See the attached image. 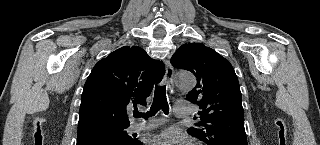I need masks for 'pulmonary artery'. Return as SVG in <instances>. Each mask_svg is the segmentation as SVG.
Instances as JSON below:
<instances>
[{
    "mask_svg": "<svg viewBox=\"0 0 320 145\" xmlns=\"http://www.w3.org/2000/svg\"><path fill=\"white\" fill-rule=\"evenodd\" d=\"M174 112L177 117H187L191 113V108L186 101H177L174 106ZM165 120L162 118H152L148 122L134 123L129 127L130 132H141L161 125Z\"/></svg>",
    "mask_w": 320,
    "mask_h": 145,
    "instance_id": "obj_1",
    "label": "pulmonary artery"
}]
</instances>
